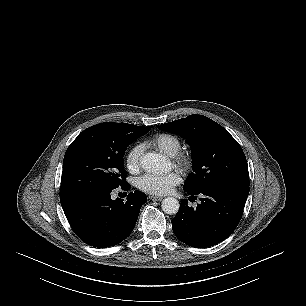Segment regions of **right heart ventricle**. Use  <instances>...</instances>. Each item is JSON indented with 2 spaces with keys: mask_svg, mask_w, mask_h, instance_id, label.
<instances>
[{
  "mask_svg": "<svg viewBox=\"0 0 306 306\" xmlns=\"http://www.w3.org/2000/svg\"><path fill=\"white\" fill-rule=\"evenodd\" d=\"M146 144L168 157L176 155L182 145L177 136L169 133L157 134L149 139Z\"/></svg>",
  "mask_w": 306,
  "mask_h": 306,
  "instance_id": "obj_1",
  "label": "right heart ventricle"
}]
</instances>
